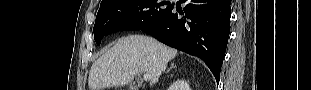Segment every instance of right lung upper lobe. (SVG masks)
Segmentation results:
<instances>
[{"label":"right lung upper lobe","mask_w":311,"mask_h":90,"mask_svg":"<svg viewBox=\"0 0 311 90\" xmlns=\"http://www.w3.org/2000/svg\"><path fill=\"white\" fill-rule=\"evenodd\" d=\"M105 1H106V0H102V2H105ZM102 2H101V3H102Z\"/></svg>","instance_id":"obj_1"}]
</instances>
